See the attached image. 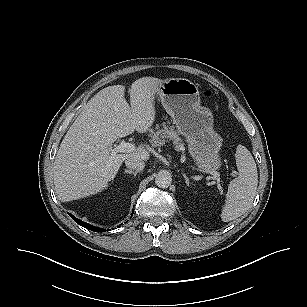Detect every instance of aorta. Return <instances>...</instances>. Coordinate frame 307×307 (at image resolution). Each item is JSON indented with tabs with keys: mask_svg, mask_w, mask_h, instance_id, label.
I'll use <instances>...</instances> for the list:
<instances>
[{
	"mask_svg": "<svg viewBox=\"0 0 307 307\" xmlns=\"http://www.w3.org/2000/svg\"><path fill=\"white\" fill-rule=\"evenodd\" d=\"M172 182V175L168 170H160L156 177L155 183L158 187L167 188Z\"/></svg>",
	"mask_w": 307,
	"mask_h": 307,
	"instance_id": "1",
	"label": "aorta"
}]
</instances>
